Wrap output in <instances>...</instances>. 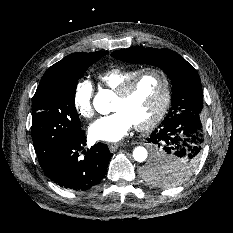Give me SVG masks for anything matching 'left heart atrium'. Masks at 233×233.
Instances as JSON below:
<instances>
[{"label":"left heart atrium","instance_id":"39dd6f15","mask_svg":"<svg viewBox=\"0 0 233 233\" xmlns=\"http://www.w3.org/2000/svg\"><path fill=\"white\" fill-rule=\"evenodd\" d=\"M134 126L130 116L123 110L102 116L89 127V135L98 141L116 142L121 140Z\"/></svg>","mask_w":233,"mask_h":233}]
</instances>
